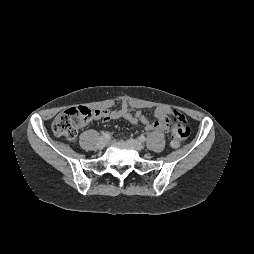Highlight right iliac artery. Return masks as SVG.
<instances>
[{
    "mask_svg": "<svg viewBox=\"0 0 254 254\" xmlns=\"http://www.w3.org/2000/svg\"><path fill=\"white\" fill-rule=\"evenodd\" d=\"M102 136L106 139L110 138V134L108 132H104Z\"/></svg>",
    "mask_w": 254,
    "mask_h": 254,
    "instance_id": "82829eb1",
    "label": "right iliac artery"
}]
</instances>
